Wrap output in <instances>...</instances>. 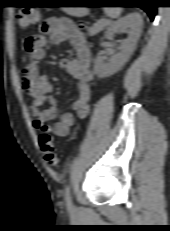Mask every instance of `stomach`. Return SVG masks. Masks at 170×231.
Wrapping results in <instances>:
<instances>
[{
	"label": "stomach",
	"instance_id": "1",
	"mask_svg": "<svg viewBox=\"0 0 170 231\" xmlns=\"http://www.w3.org/2000/svg\"><path fill=\"white\" fill-rule=\"evenodd\" d=\"M69 2L71 1H66V3ZM62 9L70 15L80 16L86 13V8L84 7H62Z\"/></svg>",
	"mask_w": 170,
	"mask_h": 231
}]
</instances>
